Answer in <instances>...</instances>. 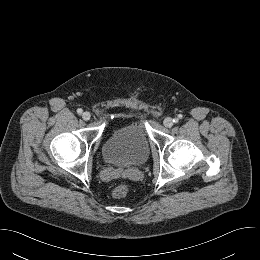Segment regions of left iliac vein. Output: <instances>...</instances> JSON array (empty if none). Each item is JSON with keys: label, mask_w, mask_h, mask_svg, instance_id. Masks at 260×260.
<instances>
[{"label": "left iliac vein", "mask_w": 260, "mask_h": 260, "mask_svg": "<svg viewBox=\"0 0 260 260\" xmlns=\"http://www.w3.org/2000/svg\"><path fill=\"white\" fill-rule=\"evenodd\" d=\"M164 126L167 128H171L173 126V119L171 117H167L164 119Z\"/></svg>", "instance_id": "obj_1"}]
</instances>
